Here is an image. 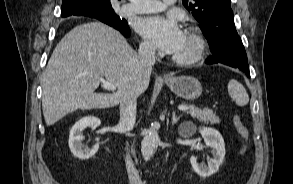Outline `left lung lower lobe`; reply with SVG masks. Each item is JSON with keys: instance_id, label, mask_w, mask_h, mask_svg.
I'll list each match as a JSON object with an SVG mask.
<instances>
[{"instance_id": "1", "label": "left lung lower lobe", "mask_w": 293, "mask_h": 184, "mask_svg": "<svg viewBox=\"0 0 293 184\" xmlns=\"http://www.w3.org/2000/svg\"><path fill=\"white\" fill-rule=\"evenodd\" d=\"M220 55H213L206 60V63H223L239 68L250 77L247 55L239 35H229L220 44Z\"/></svg>"}]
</instances>
